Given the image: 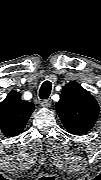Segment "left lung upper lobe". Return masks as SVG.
<instances>
[{
  "instance_id": "left-lung-upper-lobe-1",
  "label": "left lung upper lobe",
  "mask_w": 101,
  "mask_h": 180,
  "mask_svg": "<svg viewBox=\"0 0 101 180\" xmlns=\"http://www.w3.org/2000/svg\"><path fill=\"white\" fill-rule=\"evenodd\" d=\"M56 110L66 130L75 135L90 131L99 115L96 99L75 81L62 88Z\"/></svg>"
}]
</instances>
